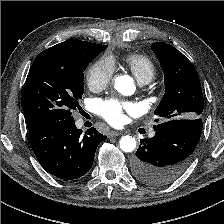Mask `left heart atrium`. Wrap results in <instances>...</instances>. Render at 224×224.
<instances>
[{
  "instance_id": "1",
  "label": "left heart atrium",
  "mask_w": 224,
  "mask_h": 224,
  "mask_svg": "<svg viewBox=\"0 0 224 224\" xmlns=\"http://www.w3.org/2000/svg\"><path fill=\"white\" fill-rule=\"evenodd\" d=\"M135 109V104L116 99L100 101L97 103V113L114 126H117L122 122L126 112L133 113Z\"/></svg>"
}]
</instances>
